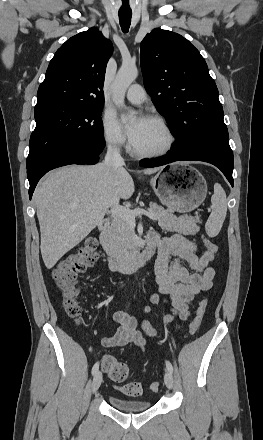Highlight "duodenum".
<instances>
[{
    "mask_svg": "<svg viewBox=\"0 0 263 440\" xmlns=\"http://www.w3.org/2000/svg\"><path fill=\"white\" fill-rule=\"evenodd\" d=\"M110 221L104 219L99 222L98 230L100 241L106 253V264L113 271L133 273L142 268L155 252V243L151 238H146L142 249L131 260H122L111 253L109 244Z\"/></svg>",
    "mask_w": 263,
    "mask_h": 440,
    "instance_id": "duodenum-1",
    "label": "duodenum"
}]
</instances>
